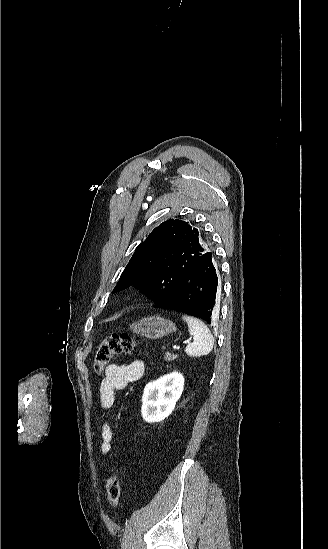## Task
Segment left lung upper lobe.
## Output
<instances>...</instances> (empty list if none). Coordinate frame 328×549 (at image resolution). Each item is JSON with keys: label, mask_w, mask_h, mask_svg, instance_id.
Listing matches in <instances>:
<instances>
[{"label": "left lung upper lobe", "mask_w": 328, "mask_h": 549, "mask_svg": "<svg viewBox=\"0 0 328 549\" xmlns=\"http://www.w3.org/2000/svg\"><path fill=\"white\" fill-rule=\"evenodd\" d=\"M204 251L196 228L169 219L136 248L113 292L133 284L154 302L164 299Z\"/></svg>", "instance_id": "left-lung-upper-lobe-1"}]
</instances>
